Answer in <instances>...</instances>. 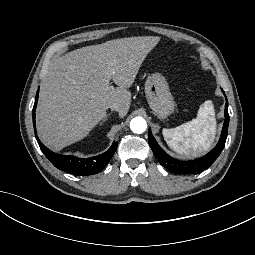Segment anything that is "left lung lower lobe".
<instances>
[{"label":"left lung lower lobe","instance_id":"left-lung-lower-lobe-1","mask_svg":"<svg viewBox=\"0 0 255 255\" xmlns=\"http://www.w3.org/2000/svg\"><path fill=\"white\" fill-rule=\"evenodd\" d=\"M225 121L221 133L220 140L216 147L207 155L203 156L202 158H198L195 160L190 161H178L170 157L165 153V151L158 145L150 130H148V142L149 145L158 159L160 164L168 169L169 171L175 174H199L206 168L210 167L213 162L217 159V157L222 152L228 132V125H229V114H228V102L226 101L225 105Z\"/></svg>","mask_w":255,"mask_h":255}]
</instances>
